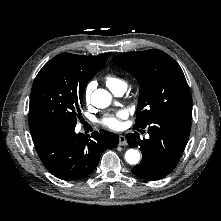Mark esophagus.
<instances>
[{
  "label": "esophagus",
  "mask_w": 221,
  "mask_h": 221,
  "mask_svg": "<svg viewBox=\"0 0 221 221\" xmlns=\"http://www.w3.org/2000/svg\"><path fill=\"white\" fill-rule=\"evenodd\" d=\"M119 145L121 146L127 145V140L124 135H119Z\"/></svg>",
  "instance_id": "1"
}]
</instances>
